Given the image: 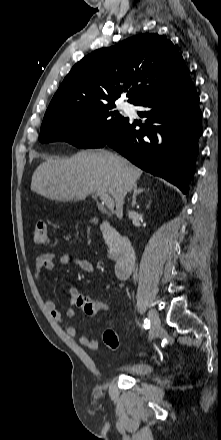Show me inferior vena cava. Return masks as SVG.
Wrapping results in <instances>:
<instances>
[{"mask_svg": "<svg viewBox=\"0 0 221 440\" xmlns=\"http://www.w3.org/2000/svg\"><path fill=\"white\" fill-rule=\"evenodd\" d=\"M134 215V212L133 211H128V216L129 217H132ZM137 277H138V275H137V269L134 271V274H133V278H134V281H136L137 280Z\"/></svg>", "mask_w": 221, "mask_h": 440, "instance_id": "inferior-vena-cava-1", "label": "inferior vena cava"}]
</instances>
